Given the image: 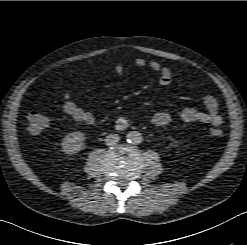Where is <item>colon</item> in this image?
<instances>
[{
	"label": "colon",
	"instance_id": "obj_1",
	"mask_svg": "<svg viewBox=\"0 0 247 245\" xmlns=\"http://www.w3.org/2000/svg\"><path fill=\"white\" fill-rule=\"evenodd\" d=\"M28 120V130L32 134H38L43 131L48 126L47 117L39 111H30L27 115ZM223 131L219 127H214L211 129V134L214 136L222 135Z\"/></svg>",
	"mask_w": 247,
	"mask_h": 245
}]
</instances>
